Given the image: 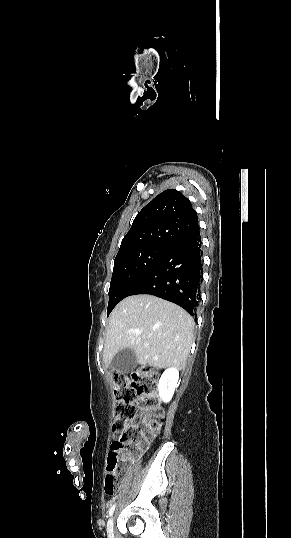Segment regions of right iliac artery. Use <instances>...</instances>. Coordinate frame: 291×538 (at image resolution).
Instances as JSON below:
<instances>
[{"mask_svg":"<svg viewBox=\"0 0 291 538\" xmlns=\"http://www.w3.org/2000/svg\"><path fill=\"white\" fill-rule=\"evenodd\" d=\"M114 509H115V504L111 506V508L109 510V516H111L113 514Z\"/></svg>","mask_w":291,"mask_h":538,"instance_id":"82829eb1","label":"right iliac artery"}]
</instances>
